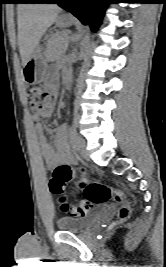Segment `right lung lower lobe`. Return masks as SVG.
Wrapping results in <instances>:
<instances>
[{
    "mask_svg": "<svg viewBox=\"0 0 166 267\" xmlns=\"http://www.w3.org/2000/svg\"><path fill=\"white\" fill-rule=\"evenodd\" d=\"M49 0H27L26 3H46Z\"/></svg>",
    "mask_w": 166,
    "mask_h": 267,
    "instance_id": "98d812e1",
    "label": "right lung lower lobe"
}]
</instances>
